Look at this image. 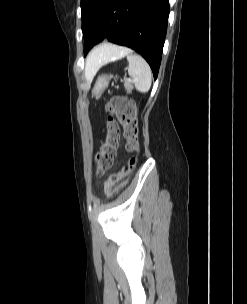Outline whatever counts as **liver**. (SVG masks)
Returning <instances> with one entry per match:
<instances>
[{
	"mask_svg": "<svg viewBox=\"0 0 247 304\" xmlns=\"http://www.w3.org/2000/svg\"><path fill=\"white\" fill-rule=\"evenodd\" d=\"M122 51H128V49L111 44L98 46L86 61L85 77L91 78L103 64L108 62L110 57L118 55Z\"/></svg>",
	"mask_w": 247,
	"mask_h": 304,
	"instance_id": "6515ba94",
	"label": "liver"
}]
</instances>
